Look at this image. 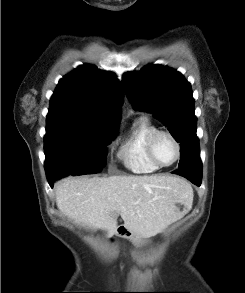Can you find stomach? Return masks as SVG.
Wrapping results in <instances>:
<instances>
[{
    "label": "stomach",
    "mask_w": 245,
    "mask_h": 293,
    "mask_svg": "<svg viewBox=\"0 0 245 293\" xmlns=\"http://www.w3.org/2000/svg\"><path fill=\"white\" fill-rule=\"evenodd\" d=\"M176 207L178 209L179 212H184L186 211V206L183 203H177ZM134 244L138 245V244H142L145 242V238H142L141 236L134 234V233H130L129 237H128Z\"/></svg>",
    "instance_id": "stomach-1"
}]
</instances>
